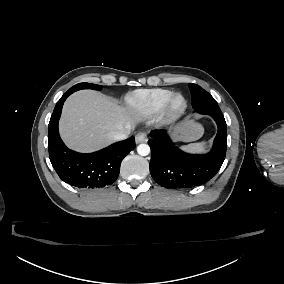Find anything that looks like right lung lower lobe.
<instances>
[{
	"mask_svg": "<svg viewBox=\"0 0 284 284\" xmlns=\"http://www.w3.org/2000/svg\"><path fill=\"white\" fill-rule=\"evenodd\" d=\"M67 91L57 102L48 126L49 157L55 171L66 183L84 190H95L114 183L120 172L123 158L135 148L130 137L100 151L82 154L68 149L60 138L58 121Z\"/></svg>",
	"mask_w": 284,
	"mask_h": 284,
	"instance_id": "1",
	"label": "right lung lower lobe"
}]
</instances>
